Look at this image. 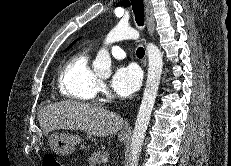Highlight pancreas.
Returning a JSON list of instances; mask_svg holds the SVG:
<instances>
[{"label": "pancreas", "instance_id": "cf45deb5", "mask_svg": "<svg viewBox=\"0 0 231 166\" xmlns=\"http://www.w3.org/2000/svg\"><path fill=\"white\" fill-rule=\"evenodd\" d=\"M108 156L109 153L105 151L93 153L88 159L89 166H96L97 164H100L102 160L105 158L107 159Z\"/></svg>", "mask_w": 231, "mask_h": 166}]
</instances>
